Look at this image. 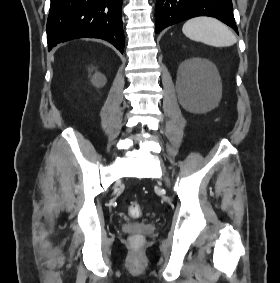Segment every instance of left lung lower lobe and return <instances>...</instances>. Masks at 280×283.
Listing matches in <instances>:
<instances>
[{
	"label": "left lung lower lobe",
	"mask_w": 280,
	"mask_h": 283,
	"mask_svg": "<svg viewBox=\"0 0 280 283\" xmlns=\"http://www.w3.org/2000/svg\"><path fill=\"white\" fill-rule=\"evenodd\" d=\"M197 16L215 17L238 33L231 0H157L156 33L170 25Z\"/></svg>",
	"instance_id": "0a47b994"
}]
</instances>
